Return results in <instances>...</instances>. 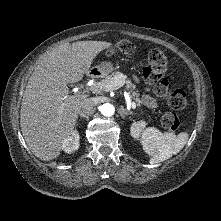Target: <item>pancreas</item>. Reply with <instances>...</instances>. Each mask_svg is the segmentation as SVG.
Here are the masks:
<instances>
[{
	"mask_svg": "<svg viewBox=\"0 0 221 221\" xmlns=\"http://www.w3.org/2000/svg\"><path fill=\"white\" fill-rule=\"evenodd\" d=\"M115 80H118L119 83L123 86L126 85L127 88L131 89L132 91V98L135 102V104L140 107L142 104V100L140 99V94L138 93V90L136 89V85L131 82V80L127 79V77L121 73V72H114L111 75L107 76L104 80L100 82H96L93 85V89L96 88L104 89L106 90V86L113 84Z\"/></svg>",
	"mask_w": 221,
	"mask_h": 221,
	"instance_id": "pancreas-1",
	"label": "pancreas"
}]
</instances>
